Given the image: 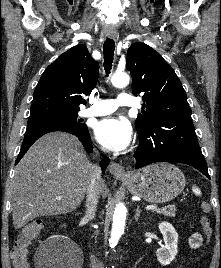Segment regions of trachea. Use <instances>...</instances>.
I'll return each instance as SVG.
<instances>
[{
  "label": "trachea",
  "mask_w": 221,
  "mask_h": 268,
  "mask_svg": "<svg viewBox=\"0 0 221 268\" xmlns=\"http://www.w3.org/2000/svg\"><path fill=\"white\" fill-rule=\"evenodd\" d=\"M115 51V42L113 39L107 38L103 44V54H104V69L106 75L110 74L112 68V62Z\"/></svg>",
  "instance_id": "3493384b"
}]
</instances>
